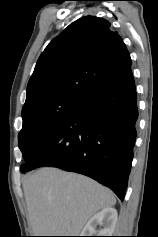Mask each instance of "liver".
<instances>
[{
	"label": "liver",
	"mask_w": 158,
	"mask_h": 237,
	"mask_svg": "<svg viewBox=\"0 0 158 237\" xmlns=\"http://www.w3.org/2000/svg\"><path fill=\"white\" fill-rule=\"evenodd\" d=\"M22 187L34 236H78L94 214L116 203L96 181L52 167L26 174Z\"/></svg>",
	"instance_id": "obj_1"
}]
</instances>
